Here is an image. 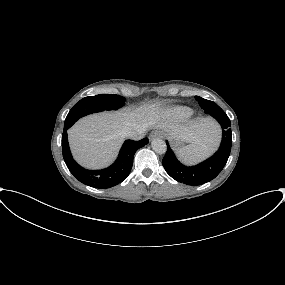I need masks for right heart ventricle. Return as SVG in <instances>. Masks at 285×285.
I'll return each mask as SVG.
<instances>
[{"label": "right heart ventricle", "mask_w": 285, "mask_h": 285, "mask_svg": "<svg viewBox=\"0 0 285 285\" xmlns=\"http://www.w3.org/2000/svg\"><path fill=\"white\" fill-rule=\"evenodd\" d=\"M192 111L189 108L178 106L169 110L168 115L176 121L187 119L191 115Z\"/></svg>", "instance_id": "right-heart-ventricle-1"}]
</instances>
